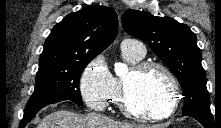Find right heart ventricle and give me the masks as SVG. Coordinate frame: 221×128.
Here are the masks:
<instances>
[{"label":"right heart ventricle","mask_w":221,"mask_h":128,"mask_svg":"<svg viewBox=\"0 0 221 128\" xmlns=\"http://www.w3.org/2000/svg\"><path fill=\"white\" fill-rule=\"evenodd\" d=\"M122 52V57L123 59L131 66L134 67L141 63L143 57L139 56L135 52L129 50V49H121ZM114 79V84H115V92L111 96L108 97L107 102H112L115 104H118L120 101V90H121V84H122V79L113 76Z\"/></svg>","instance_id":"1"}]
</instances>
